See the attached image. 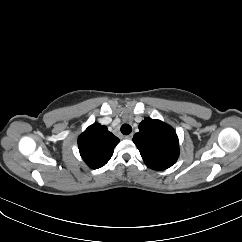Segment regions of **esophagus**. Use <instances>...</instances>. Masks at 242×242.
<instances>
[{
  "instance_id": "obj_1",
  "label": "esophagus",
  "mask_w": 242,
  "mask_h": 242,
  "mask_svg": "<svg viewBox=\"0 0 242 242\" xmlns=\"http://www.w3.org/2000/svg\"><path fill=\"white\" fill-rule=\"evenodd\" d=\"M125 138H126V139H132V138H133V133H131V134L125 136Z\"/></svg>"
}]
</instances>
